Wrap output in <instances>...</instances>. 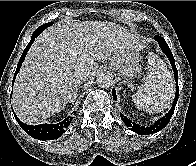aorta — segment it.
<instances>
[{
    "instance_id": "762f6f07",
    "label": "aorta",
    "mask_w": 196,
    "mask_h": 166,
    "mask_svg": "<svg viewBox=\"0 0 196 166\" xmlns=\"http://www.w3.org/2000/svg\"><path fill=\"white\" fill-rule=\"evenodd\" d=\"M97 85L102 88L111 87L114 83V77L110 72H101L96 79Z\"/></svg>"
}]
</instances>
